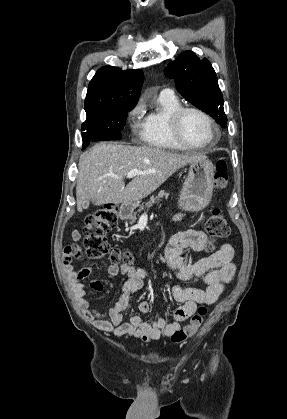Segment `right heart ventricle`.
<instances>
[{
	"mask_svg": "<svg viewBox=\"0 0 287 419\" xmlns=\"http://www.w3.org/2000/svg\"><path fill=\"white\" fill-rule=\"evenodd\" d=\"M157 107L146 112L142 118L139 136L141 141L149 147L183 150L188 149L181 145L173 136L169 116L181 106L175 95L160 94L156 99Z\"/></svg>",
	"mask_w": 287,
	"mask_h": 419,
	"instance_id": "right-heart-ventricle-1",
	"label": "right heart ventricle"
}]
</instances>
